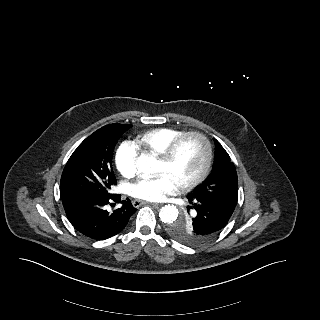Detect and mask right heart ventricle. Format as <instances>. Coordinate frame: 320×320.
Segmentation results:
<instances>
[{"label": "right heart ventricle", "instance_id": "obj_1", "mask_svg": "<svg viewBox=\"0 0 320 320\" xmlns=\"http://www.w3.org/2000/svg\"><path fill=\"white\" fill-rule=\"evenodd\" d=\"M182 133L184 132L175 128H155L138 135L135 144L140 150L159 156Z\"/></svg>", "mask_w": 320, "mask_h": 320}]
</instances>
